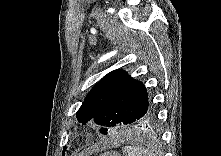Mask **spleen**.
I'll return each instance as SVG.
<instances>
[{"label":"spleen","mask_w":221,"mask_h":156,"mask_svg":"<svg viewBox=\"0 0 221 156\" xmlns=\"http://www.w3.org/2000/svg\"><path fill=\"white\" fill-rule=\"evenodd\" d=\"M125 156H155V154L142 146L125 147L123 149Z\"/></svg>","instance_id":"spleen-1"}]
</instances>
